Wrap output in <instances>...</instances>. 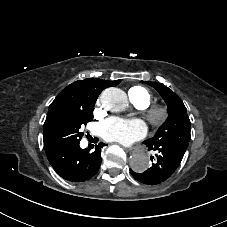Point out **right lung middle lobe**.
I'll return each instance as SVG.
<instances>
[{
    "label": "right lung middle lobe",
    "mask_w": 227,
    "mask_h": 227,
    "mask_svg": "<svg viewBox=\"0 0 227 227\" xmlns=\"http://www.w3.org/2000/svg\"><path fill=\"white\" fill-rule=\"evenodd\" d=\"M94 105L95 102L58 101L49 106L43 130L46 154L80 142L81 126L93 120Z\"/></svg>",
    "instance_id": "right-lung-middle-lobe-1"
}]
</instances>
